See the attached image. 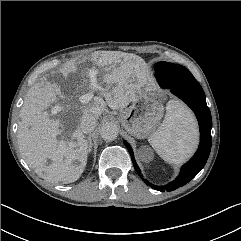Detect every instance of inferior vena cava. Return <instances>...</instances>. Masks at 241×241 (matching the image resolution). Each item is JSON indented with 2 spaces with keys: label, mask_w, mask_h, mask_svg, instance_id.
Returning <instances> with one entry per match:
<instances>
[{
  "label": "inferior vena cava",
  "mask_w": 241,
  "mask_h": 241,
  "mask_svg": "<svg viewBox=\"0 0 241 241\" xmlns=\"http://www.w3.org/2000/svg\"><path fill=\"white\" fill-rule=\"evenodd\" d=\"M96 122L95 116L92 114H84L81 118L79 128L85 134L91 133L96 127Z\"/></svg>",
  "instance_id": "1"
}]
</instances>
